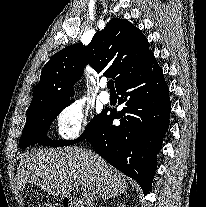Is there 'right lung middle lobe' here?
<instances>
[{
	"mask_svg": "<svg viewBox=\"0 0 206 207\" xmlns=\"http://www.w3.org/2000/svg\"><path fill=\"white\" fill-rule=\"evenodd\" d=\"M71 101L45 104L26 113L27 121L20 138V148H26L31 144L41 143L46 146H67L76 143L89 136L96 128L98 122L105 115V111L96 115L88 124L83 134L76 140H59L52 142L46 137L47 131L54 118L70 103Z\"/></svg>",
	"mask_w": 206,
	"mask_h": 207,
	"instance_id": "dd1d6c3e",
	"label": "right lung middle lobe"
}]
</instances>
